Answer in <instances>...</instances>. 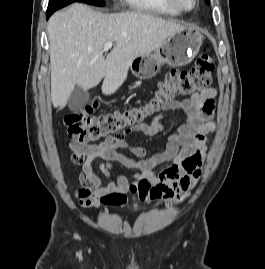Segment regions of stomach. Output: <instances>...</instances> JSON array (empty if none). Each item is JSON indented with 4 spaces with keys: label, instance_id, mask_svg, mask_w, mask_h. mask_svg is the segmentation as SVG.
I'll return each mask as SVG.
<instances>
[{
    "label": "stomach",
    "instance_id": "stomach-1",
    "mask_svg": "<svg viewBox=\"0 0 265 269\" xmlns=\"http://www.w3.org/2000/svg\"><path fill=\"white\" fill-rule=\"evenodd\" d=\"M203 35L193 27L171 34L154 53L135 58L130 69L140 79H150L159 72L161 65L181 67L190 63L198 54Z\"/></svg>",
    "mask_w": 265,
    "mask_h": 269
}]
</instances>
